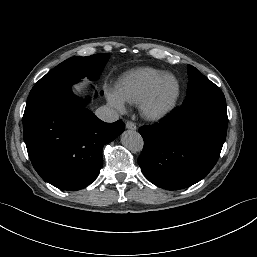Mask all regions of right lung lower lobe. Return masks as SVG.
I'll return each mask as SVG.
<instances>
[{
    "instance_id": "right-lung-lower-lobe-1",
    "label": "right lung lower lobe",
    "mask_w": 257,
    "mask_h": 257,
    "mask_svg": "<svg viewBox=\"0 0 257 257\" xmlns=\"http://www.w3.org/2000/svg\"><path fill=\"white\" fill-rule=\"evenodd\" d=\"M80 79L34 86L23 115V137L37 173L63 190L91 184L103 164L102 148L124 130L118 120L105 123L72 93Z\"/></svg>"
}]
</instances>
